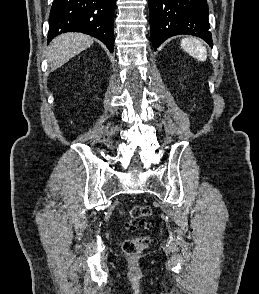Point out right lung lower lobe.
Wrapping results in <instances>:
<instances>
[{"label":"right lung lower lobe","mask_w":259,"mask_h":294,"mask_svg":"<svg viewBox=\"0 0 259 294\" xmlns=\"http://www.w3.org/2000/svg\"><path fill=\"white\" fill-rule=\"evenodd\" d=\"M116 0H54L49 17L48 42L66 32H81L114 50L113 20Z\"/></svg>","instance_id":"obj_1"}]
</instances>
